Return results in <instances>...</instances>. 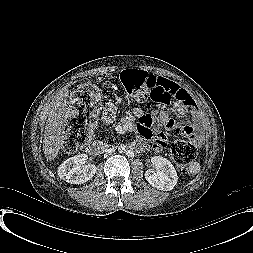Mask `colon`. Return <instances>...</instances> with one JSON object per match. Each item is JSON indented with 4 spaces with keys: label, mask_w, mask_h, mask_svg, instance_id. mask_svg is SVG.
I'll list each match as a JSON object with an SVG mask.
<instances>
[{
    "label": "colon",
    "mask_w": 253,
    "mask_h": 253,
    "mask_svg": "<svg viewBox=\"0 0 253 253\" xmlns=\"http://www.w3.org/2000/svg\"><path fill=\"white\" fill-rule=\"evenodd\" d=\"M121 82L128 96L146 106L177 100L179 89L175 83L141 69L124 70ZM100 106L101 96L93 85L85 84L73 92L63 137V147L67 153H75L85 145ZM171 155L178 170L186 173L197 155L195 137L176 140L172 144Z\"/></svg>",
    "instance_id": "1"
}]
</instances>
